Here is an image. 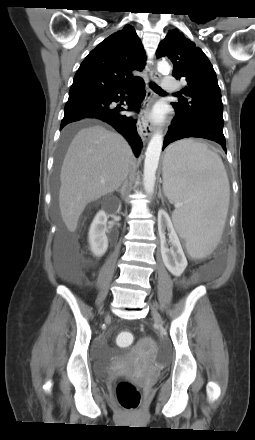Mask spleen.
<instances>
[{
	"instance_id": "3e777b00",
	"label": "spleen",
	"mask_w": 255,
	"mask_h": 440,
	"mask_svg": "<svg viewBox=\"0 0 255 440\" xmlns=\"http://www.w3.org/2000/svg\"><path fill=\"white\" fill-rule=\"evenodd\" d=\"M163 190L181 203L172 215L188 253L203 258L217 246L225 225L230 187L222 159L204 144L182 140L170 147Z\"/></svg>"
}]
</instances>
